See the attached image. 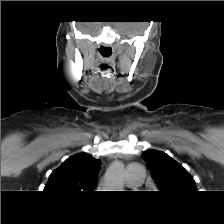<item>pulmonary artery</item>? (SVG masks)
<instances>
[{
  "mask_svg": "<svg viewBox=\"0 0 224 224\" xmlns=\"http://www.w3.org/2000/svg\"><path fill=\"white\" fill-rule=\"evenodd\" d=\"M127 182L126 184L130 187L132 186H140L144 180V173L142 169L135 165H131L127 168L126 173Z\"/></svg>",
  "mask_w": 224,
  "mask_h": 224,
  "instance_id": "obj_1",
  "label": "pulmonary artery"
}]
</instances>
